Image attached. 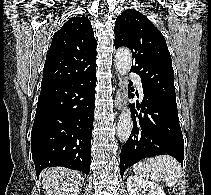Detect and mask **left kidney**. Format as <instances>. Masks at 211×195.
Segmentation results:
<instances>
[{
    "label": "left kidney",
    "mask_w": 211,
    "mask_h": 195,
    "mask_svg": "<svg viewBox=\"0 0 211 195\" xmlns=\"http://www.w3.org/2000/svg\"><path fill=\"white\" fill-rule=\"evenodd\" d=\"M126 186L129 195H166L158 184L136 175L127 178Z\"/></svg>",
    "instance_id": "obj_1"
}]
</instances>
